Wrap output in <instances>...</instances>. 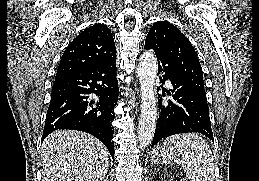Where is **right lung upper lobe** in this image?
<instances>
[{
    "label": "right lung upper lobe",
    "mask_w": 259,
    "mask_h": 181,
    "mask_svg": "<svg viewBox=\"0 0 259 181\" xmlns=\"http://www.w3.org/2000/svg\"><path fill=\"white\" fill-rule=\"evenodd\" d=\"M113 59H116V48L110 29L104 24H94L69 44L62 55L56 77L98 67Z\"/></svg>",
    "instance_id": "right-lung-upper-lobe-1"
}]
</instances>
